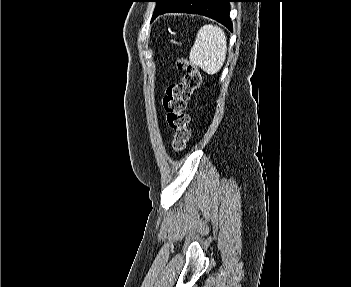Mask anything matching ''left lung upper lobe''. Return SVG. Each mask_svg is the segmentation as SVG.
I'll return each mask as SVG.
<instances>
[{
    "label": "left lung upper lobe",
    "mask_w": 351,
    "mask_h": 287,
    "mask_svg": "<svg viewBox=\"0 0 351 287\" xmlns=\"http://www.w3.org/2000/svg\"><path fill=\"white\" fill-rule=\"evenodd\" d=\"M157 3L156 9L154 11L153 17L162 9H164L172 0H152Z\"/></svg>",
    "instance_id": "5c2ea615"
}]
</instances>
